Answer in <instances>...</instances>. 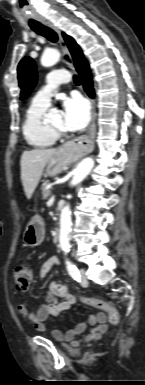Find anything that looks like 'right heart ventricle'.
<instances>
[{"instance_id":"obj_1","label":"right heart ventricle","mask_w":145,"mask_h":385,"mask_svg":"<svg viewBox=\"0 0 145 385\" xmlns=\"http://www.w3.org/2000/svg\"><path fill=\"white\" fill-rule=\"evenodd\" d=\"M47 105L35 103L29 105L22 123V133L26 142L34 148L44 149L52 146L57 137L46 126Z\"/></svg>"}]
</instances>
